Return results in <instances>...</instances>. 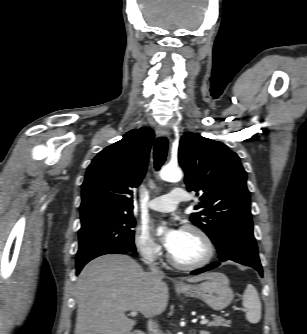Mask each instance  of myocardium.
Masks as SVG:
<instances>
[{
	"label": "myocardium",
	"mask_w": 307,
	"mask_h": 334,
	"mask_svg": "<svg viewBox=\"0 0 307 334\" xmlns=\"http://www.w3.org/2000/svg\"><path fill=\"white\" fill-rule=\"evenodd\" d=\"M182 230L194 232L201 238L205 246V255L202 259L196 262L182 263L178 261L169 251L168 260L170 264L182 270H195V269L206 266L213 259L214 254H215V247H214V243L212 239L210 238V236L207 234L205 230H203L201 227L194 225V224H186L183 226Z\"/></svg>",
	"instance_id": "f54148a6"
}]
</instances>
